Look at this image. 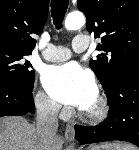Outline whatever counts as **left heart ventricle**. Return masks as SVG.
<instances>
[{
  "label": "left heart ventricle",
  "instance_id": "left-heart-ventricle-1",
  "mask_svg": "<svg viewBox=\"0 0 139 150\" xmlns=\"http://www.w3.org/2000/svg\"><path fill=\"white\" fill-rule=\"evenodd\" d=\"M96 106H97V100L94 101L90 106L85 108L84 111L91 112V111L95 110Z\"/></svg>",
  "mask_w": 139,
  "mask_h": 150
}]
</instances>
